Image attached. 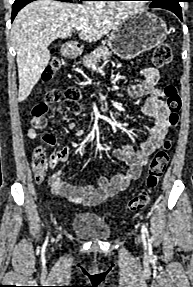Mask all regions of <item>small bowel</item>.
Masks as SVG:
<instances>
[{"label":"small bowel","instance_id":"c3829d8e","mask_svg":"<svg viewBox=\"0 0 193 287\" xmlns=\"http://www.w3.org/2000/svg\"><path fill=\"white\" fill-rule=\"evenodd\" d=\"M142 82L128 88L131 98L145 97L146 101L142 108L145 117L152 120L146 138L141 142L139 148L132 145H124L114 149L112 154L116 159L125 162L123 171L115 174L110 179L102 177L95 185L74 186L62 180V171L56 170L52 173L49 183L52 192L74 203L86 205H97L108 197L114 196L124 190L131 181L139 178L141 170L147 163L148 158L159 149L169 129V110L163 98V92L157 88L160 79L159 71L154 68H144L140 71ZM67 127L74 130L77 137H82L83 129H78L75 122H67ZM30 139L39 136L38 128L32 123L27 131ZM47 148H54L56 137L47 133L43 136ZM70 149L63 147L52 153L50 166L55 167L61 162L68 160Z\"/></svg>","mask_w":193,"mask_h":287}]
</instances>
